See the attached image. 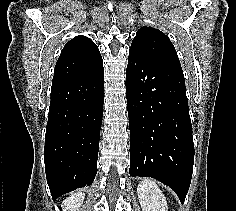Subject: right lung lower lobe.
<instances>
[{
	"label": "right lung lower lobe",
	"mask_w": 236,
	"mask_h": 211,
	"mask_svg": "<svg viewBox=\"0 0 236 211\" xmlns=\"http://www.w3.org/2000/svg\"><path fill=\"white\" fill-rule=\"evenodd\" d=\"M104 71L52 85L44 162L53 200L89 186L97 173Z\"/></svg>",
	"instance_id": "right-lung-lower-lobe-1"
}]
</instances>
